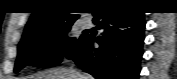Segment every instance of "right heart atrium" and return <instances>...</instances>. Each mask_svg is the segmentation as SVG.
<instances>
[{
    "label": "right heart atrium",
    "mask_w": 177,
    "mask_h": 79,
    "mask_svg": "<svg viewBox=\"0 0 177 79\" xmlns=\"http://www.w3.org/2000/svg\"><path fill=\"white\" fill-rule=\"evenodd\" d=\"M60 50H61V46L59 40H53L52 42H50L49 51L51 53H59Z\"/></svg>",
    "instance_id": "1"
}]
</instances>
